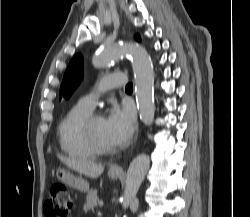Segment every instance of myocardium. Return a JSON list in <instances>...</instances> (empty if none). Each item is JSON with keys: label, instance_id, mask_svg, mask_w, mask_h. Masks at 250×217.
<instances>
[{"label": "myocardium", "instance_id": "obj_1", "mask_svg": "<svg viewBox=\"0 0 250 217\" xmlns=\"http://www.w3.org/2000/svg\"><path fill=\"white\" fill-rule=\"evenodd\" d=\"M100 116L102 115L99 112H91L82 122V133L85 141L95 152V154H110L115 151V147L105 146L102 144L94 132V122Z\"/></svg>", "mask_w": 250, "mask_h": 217}]
</instances>
